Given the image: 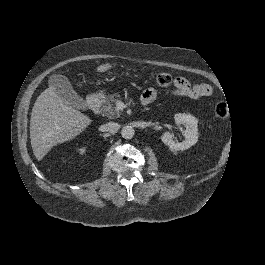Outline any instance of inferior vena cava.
<instances>
[{
	"label": "inferior vena cava",
	"mask_w": 265,
	"mask_h": 265,
	"mask_svg": "<svg viewBox=\"0 0 265 265\" xmlns=\"http://www.w3.org/2000/svg\"><path fill=\"white\" fill-rule=\"evenodd\" d=\"M105 128H106V131L110 132L111 134H115L119 130L120 126L118 123L109 122L105 124Z\"/></svg>",
	"instance_id": "inferior-vena-cava-1"
}]
</instances>
